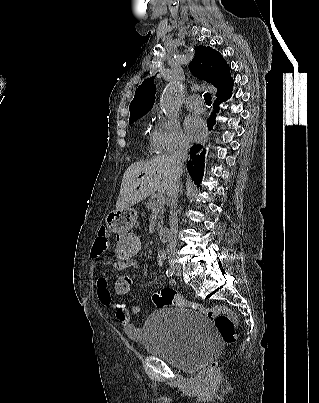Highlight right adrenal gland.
Listing matches in <instances>:
<instances>
[{
    "label": "right adrenal gland",
    "instance_id": "right-adrenal-gland-1",
    "mask_svg": "<svg viewBox=\"0 0 319 403\" xmlns=\"http://www.w3.org/2000/svg\"><path fill=\"white\" fill-rule=\"evenodd\" d=\"M180 192L182 193V186L180 187Z\"/></svg>",
    "mask_w": 319,
    "mask_h": 403
}]
</instances>
